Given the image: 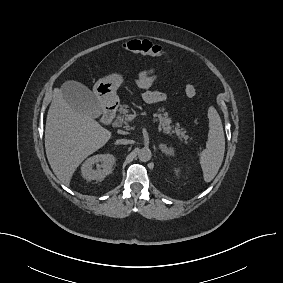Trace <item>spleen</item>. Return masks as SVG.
I'll return each mask as SVG.
<instances>
[{
	"label": "spleen",
	"mask_w": 283,
	"mask_h": 283,
	"mask_svg": "<svg viewBox=\"0 0 283 283\" xmlns=\"http://www.w3.org/2000/svg\"><path fill=\"white\" fill-rule=\"evenodd\" d=\"M209 132L206 148L199 155L205 182H210L217 175L223 162L225 152V137L221 118L217 110L208 108Z\"/></svg>",
	"instance_id": "spleen-1"
}]
</instances>
